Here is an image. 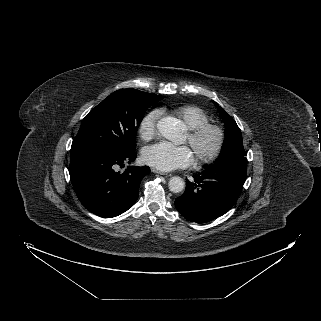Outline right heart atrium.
Returning <instances> with one entry per match:
<instances>
[{"label":"right heart atrium","instance_id":"1","mask_svg":"<svg viewBox=\"0 0 321 321\" xmlns=\"http://www.w3.org/2000/svg\"><path fill=\"white\" fill-rule=\"evenodd\" d=\"M160 116L158 110L148 112L141 120L139 125V135L141 139L147 141L152 139L156 134L157 121Z\"/></svg>","mask_w":321,"mask_h":321}]
</instances>
